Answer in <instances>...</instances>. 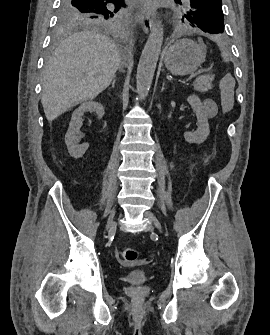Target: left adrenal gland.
<instances>
[{"label":"left adrenal gland","mask_w":270,"mask_h":335,"mask_svg":"<svg viewBox=\"0 0 270 335\" xmlns=\"http://www.w3.org/2000/svg\"><path fill=\"white\" fill-rule=\"evenodd\" d=\"M164 86H165V82H163V84H162L161 92H164V90H165Z\"/></svg>","instance_id":"left-adrenal-gland-1"}]
</instances>
